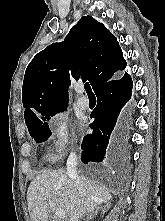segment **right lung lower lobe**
<instances>
[{
    "instance_id": "98d812e1",
    "label": "right lung lower lobe",
    "mask_w": 165,
    "mask_h": 221,
    "mask_svg": "<svg viewBox=\"0 0 165 221\" xmlns=\"http://www.w3.org/2000/svg\"><path fill=\"white\" fill-rule=\"evenodd\" d=\"M132 87L131 77L125 73L95 90L97 106L91 113V118L95 120L90 124L93 133L83 139V163L104 160L121 164L127 158L128 126L120 111L130 99Z\"/></svg>"
}]
</instances>
